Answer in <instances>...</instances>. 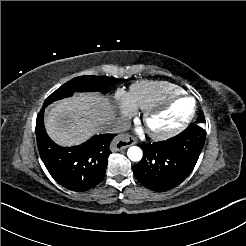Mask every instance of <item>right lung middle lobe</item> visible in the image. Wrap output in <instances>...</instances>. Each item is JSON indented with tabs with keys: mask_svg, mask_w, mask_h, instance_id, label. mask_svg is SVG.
Here are the masks:
<instances>
[{
	"mask_svg": "<svg viewBox=\"0 0 246 246\" xmlns=\"http://www.w3.org/2000/svg\"><path fill=\"white\" fill-rule=\"evenodd\" d=\"M117 82L114 78L107 76L85 75L76 77L54 91L44 102L43 108L56 100L70 97L74 92H94L103 94Z\"/></svg>",
	"mask_w": 246,
	"mask_h": 246,
	"instance_id": "1",
	"label": "right lung middle lobe"
}]
</instances>
